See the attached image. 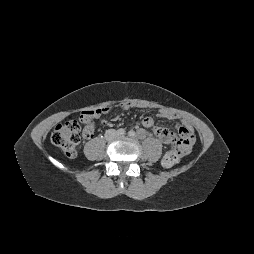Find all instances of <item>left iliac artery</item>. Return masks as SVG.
<instances>
[{
	"label": "left iliac artery",
	"mask_w": 254,
	"mask_h": 254,
	"mask_svg": "<svg viewBox=\"0 0 254 254\" xmlns=\"http://www.w3.org/2000/svg\"><path fill=\"white\" fill-rule=\"evenodd\" d=\"M128 135L131 136V137H134V136L136 135V133H135V131L130 130V131L128 132Z\"/></svg>",
	"instance_id": "obj_1"
}]
</instances>
